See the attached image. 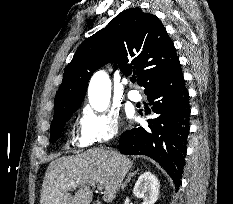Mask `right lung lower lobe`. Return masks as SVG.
<instances>
[{"label":"right lung lower lobe","instance_id":"right-lung-lower-lobe-1","mask_svg":"<svg viewBox=\"0 0 233 204\" xmlns=\"http://www.w3.org/2000/svg\"><path fill=\"white\" fill-rule=\"evenodd\" d=\"M152 111L159 114L149 126L124 132L119 140L120 152L146 155L156 160L179 186L185 164L189 134V95L180 62L159 73L145 87Z\"/></svg>","mask_w":233,"mask_h":204}]
</instances>
